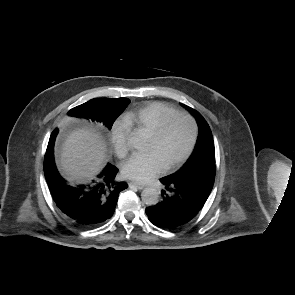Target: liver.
<instances>
[{"label":"liver","instance_id":"obj_1","mask_svg":"<svg viewBox=\"0 0 295 295\" xmlns=\"http://www.w3.org/2000/svg\"><path fill=\"white\" fill-rule=\"evenodd\" d=\"M106 145L103 138L88 129H78L67 137L59 158L62 174L69 180L91 178L103 167Z\"/></svg>","mask_w":295,"mask_h":295}]
</instances>
